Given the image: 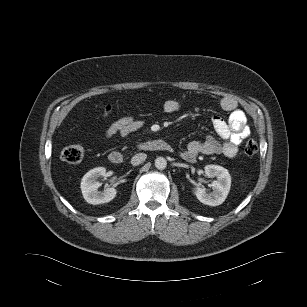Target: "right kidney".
<instances>
[{
  "label": "right kidney",
  "instance_id": "right-kidney-1",
  "mask_svg": "<svg viewBox=\"0 0 307 307\" xmlns=\"http://www.w3.org/2000/svg\"><path fill=\"white\" fill-rule=\"evenodd\" d=\"M106 176V168L96 167L88 171L82 178L81 190L84 199L90 204L108 203L115 198L117 190L113 187L99 191L100 183L98 179Z\"/></svg>",
  "mask_w": 307,
  "mask_h": 307
}]
</instances>
